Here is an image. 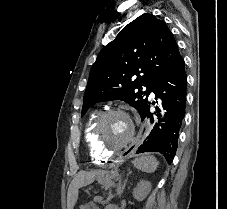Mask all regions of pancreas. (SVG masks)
Returning <instances> with one entry per match:
<instances>
[{
    "label": "pancreas",
    "mask_w": 227,
    "mask_h": 209,
    "mask_svg": "<svg viewBox=\"0 0 227 209\" xmlns=\"http://www.w3.org/2000/svg\"><path fill=\"white\" fill-rule=\"evenodd\" d=\"M86 209H99V208L98 207L97 208L96 207L93 208L91 206H87Z\"/></svg>",
    "instance_id": "1"
}]
</instances>
